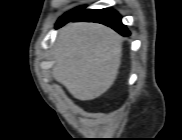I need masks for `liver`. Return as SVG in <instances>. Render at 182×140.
Masks as SVG:
<instances>
[{
	"label": "liver",
	"instance_id": "1",
	"mask_svg": "<svg viewBox=\"0 0 182 140\" xmlns=\"http://www.w3.org/2000/svg\"><path fill=\"white\" fill-rule=\"evenodd\" d=\"M122 38L96 23H70L61 29L53 51V78L76 99L92 100L114 83Z\"/></svg>",
	"mask_w": 182,
	"mask_h": 140
}]
</instances>
